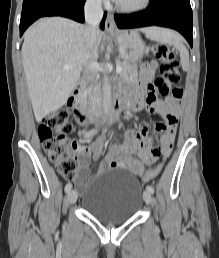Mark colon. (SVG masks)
Returning <instances> with one entry per match:
<instances>
[{
    "label": "colon",
    "mask_w": 219,
    "mask_h": 258,
    "mask_svg": "<svg viewBox=\"0 0 219 258\" xmlns=\"http://www.w3.org/2000/svg\"><path fill=\"white\" fill-rule=\"evenodd\" d=\"M151 53L161 61L160 73L152 83L157 93L166 97L171 94L181 95L178 87L181 81L180 66L172 49L163 43H155ZM75 130L66 111H55L42 118L38 129L39 139L48 158L55 164L58 172L67 179H73L78 171V160L74 155L76 144L68 135ZM162 169L159 163L140 175L141 180L148 182L156 177Z\"/></svg>",
    "instance_id": "5ec220e1"
}]
</instances>
